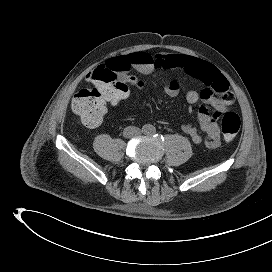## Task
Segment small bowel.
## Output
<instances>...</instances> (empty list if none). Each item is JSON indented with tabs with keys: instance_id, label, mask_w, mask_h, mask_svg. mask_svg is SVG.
Masks as SVG:
<instances>
[{
	"instance_id": "c3829d8e",
	"label": "small bowel",
	"mask_w": 272,
	"mask_h": 272,
	"mask_svg": "<svg viewBox=\"0 0 272 272\" xmlns=\"http://www.w3.org/2000/svg\"><path fill=\"white\" fill-rule=\"evenodd\" d=\"M106 66L120 69V77L139 89L145 88L146 84L142 79L130 74V69L143 76H149L159 69L169 75L164 91L171 97L180 93L186 78L192 79L198 87L189 89L185 99L189 105L198 102L203 104L199 109L198 120L206 135L202 137L190 123L184 124L182 129L197 145L204 144L208 148L220 145V129L215 114L224 113L230 108L234 103V93L225 76L214 65L187 55L149 54L139 51L113 57L107 61ZM207 107L213 108L215 112L209 113Z\"/></svg>"
}]
</instances>
